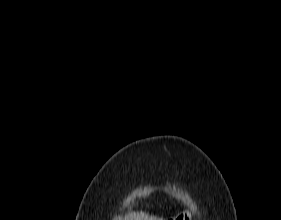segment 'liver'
<instances>
[{"instance_id": "liver-1", "label": "liver", "mask_w": 281, "mask_h": 220, "mask_svg": "<svg viewBox=\"0 0 281 220\" xmlns=\"http://www.w3.org/2000/svg\"><path fill=\"white\" fill-rule=\"evenodd\" d=\"M125 220H163V219L152 215L150 216L144 212H132L127 214Z\"/></svg>"}]
</instances>
